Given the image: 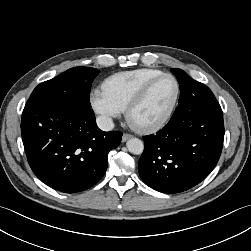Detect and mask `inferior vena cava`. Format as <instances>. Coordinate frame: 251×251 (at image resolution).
I'll list each match as a JSON object with an SVG mask.
<instances>
[{"instance_id":"602c4592","label":"inferior vena cava","mask_w":251,"mask_h":251,"mask_svg":"<svg viewBox=\"0 0 251 251\" xmlns=\"http://www.w3.org/2000/svg\"><path fill=\"white\" fill-rule=\"evenodd\" d=\"M98 127L103 131H110L114 128L113 120L107 116H98L97 119Z\"/></svg>"}]
</instances>
